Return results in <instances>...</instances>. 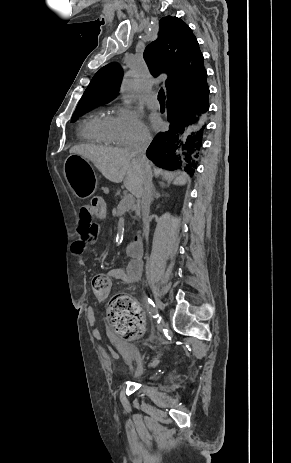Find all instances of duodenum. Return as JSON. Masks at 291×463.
I'll list each match as a JSON object with an SVG mask.
<instances>
[{
	"mask_svg": "<svg viewBox=\"0 0 291 463\" xmlns=\"http://www.w3.org/2000/svg\"><path fill=\"white\" fill-rule=\"evenodd\" d=\"M127 252L134 259H138L142 256L143 240L139 235L135 236L127 245Z\"/></svg>",
	"mask_w": 291,
	"mask_h": 463,
	"instance_id": "duodenum-1",
	"label": "duodenum"
}]
</instances>
